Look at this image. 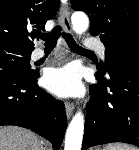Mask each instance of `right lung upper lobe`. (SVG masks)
Segmentation results:
<instances>
[{
	"label": "right lung upper lobe",
	"instance_id": "right-lung-upper-lobe-1",
	"mask_svg": "<svg viewBox=\"0 0 139 150\" xmlns=\"http://www.w3.org/2000/svg\"><path fill=\"white\" fill-rule=\"evenodd\" d=\"M59 0H0V45L32 52L38 31L57 12Z\"/></svg>",
	"mask_w": 139,
	"mask_h": 150
}]
</instances>
